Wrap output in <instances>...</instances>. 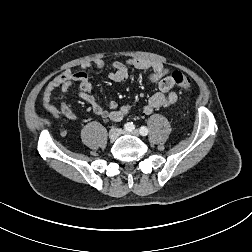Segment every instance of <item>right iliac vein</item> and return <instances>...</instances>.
Listing matches in <instances>:
<instances>
[{
	"instance_id": "63e3f726",
	"label": "right iliac vein",
	"mask_w": 252,
	"mask_h": 252,
	"mask_svg": "<svg viewBox=\"0 0 252 252\" xmlns=\"http://www.w3.org/2000/svg\"><path fill=\"white\" fill-rule=\"evenodd\" d=\"M122 134V130L119 128H112L109 131V138L111 140H116Z\"/></svg>"
}]
</instances>
